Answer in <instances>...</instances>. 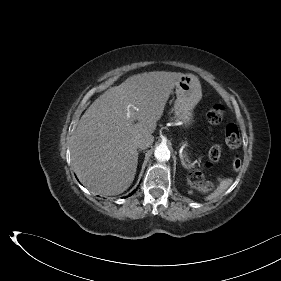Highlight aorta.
Returning <instances> with one entry per match:
<instances>
[{
  "mask_svg": "<svg viewBox=\"0 0 281 281\" xmlns=\"http://www.w3.org/2000/svg\"><path fill=\"white\" fill-rule=\"evenodd\" d=\"M154 155L158 161L163 162L170 158V151L167 146L159 145L156 147Z\"/></svg>",
  "mask_w": 281,
  "mask_h": 281,
  "instance_id": "1",
  "label": "aorta"
}]
</instances>
